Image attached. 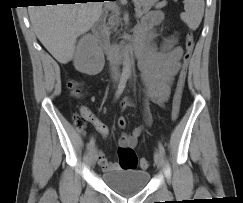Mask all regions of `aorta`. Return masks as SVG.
<instances>
[{
	"label": "aorta",
	"instance_id": "obj_1",
	"mask_svg": "<svg viewBox=\"0 0 243 203\" xmlns=\"http://www.w3.org/2000/svg\"><path fill=\"white\" fill-rule=\"evenodd\" d=\"M123 71L124 73H130L131 72V68L133 65V60L131 57V51H130V47H126L124 50V55H123Z\"/></svg>",
	"mask_w": 243,
	"mask_h": 203
}]
</instances>
